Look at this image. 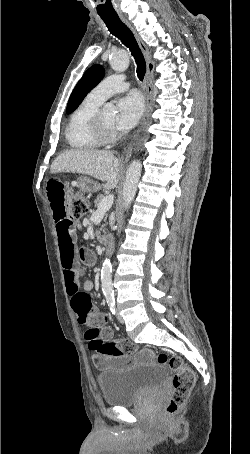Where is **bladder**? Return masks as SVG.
<instances>
[{
	"label": "bladder",
	"instance_id": "31cf9c89",
	"mask_svg": "<svg viewBox=\"0 0 250 454\" xmlns=\"http://www.w3.org/2000/svg\"><path fill=\"white\" fill-rule=\"evenodd\" d=\"M119 357L131 359L130 356ZM165 378L166 372L159 364L134 363L100 373L98 384L105 404L127 407L159 390Z\"/></svg>",
	"mask_w": 250,
	"mask_h": 454
}]
</instances>
